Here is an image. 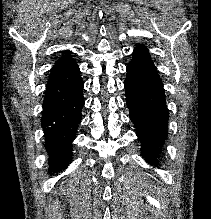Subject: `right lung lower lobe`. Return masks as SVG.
Returning a JSON list of instances; mask_svg holds the SVG:
<instances>
[{
    "instance_id": "right-lung-lower-lobe-1",
    "label": "right lung lower lobe",
    "mask_w": 211,
    "mask_h": 219,
    "mask_svg": "<svg viewBox=\"0 0 211 219\" xmlns=\"http://www.w3.org/2000/svg\"><path fill=\"white\" fill-rule=\"evenodd\" d=\"M83 87L79 67L74 60L62 64L50 74L41 119L49 157L48 173L67 167L72 157V141L84 106Z\"/></svg>"
}]
</instances>
